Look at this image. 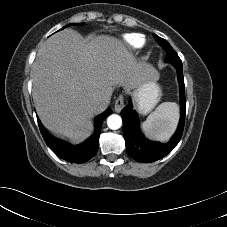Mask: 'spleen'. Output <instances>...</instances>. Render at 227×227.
<instances>
[{
    "instance_id": "spleen-1",
    "label": "spleen",
    "mask_w": 227,
    "mask_h": 227,
    "mask_svg": "<svg viewBox=\"0 0 227 227\" xmlns=\"http://www.w3.org/2000/svg\"><path fill=\"white\" fill-rule=\"evenodd\" d=\"M178 116L177 104L164 102L147 117L142 128L148 136L166 141L177 125Z\"/></svg>"
}]
</instances>
